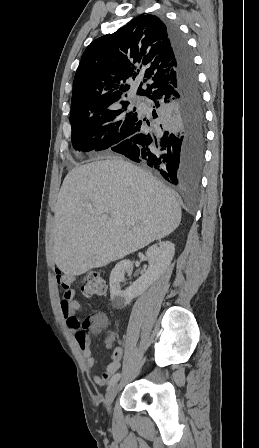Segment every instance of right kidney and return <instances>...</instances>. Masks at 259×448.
<instances>
[{"instance_id": "1", "label": "right kidney", "mask_w": 259, "mask_h": 448, "mask_svg": "<svg viewBox=\"0 0 259 448\" xmlns=\"http://www.w3.org/2000/svg\"><path fill=\"white\" fill-rule=\"evenodd\" d=\"M174 254L175 246L172 242H159L150 246L146 252L148 270L126 290H121L120 282H123L125 272L132 270L133 264L130 260L118 262L110 274V298L114 308H125L133 298H137L152 286L170 266Z\"/></svg>"}]
</instances>
